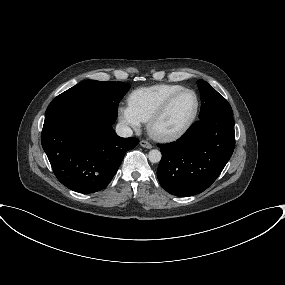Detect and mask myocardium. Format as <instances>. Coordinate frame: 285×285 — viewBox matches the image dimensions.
Segmentation results:
<instances>
[{
    "instance_id": "f54148a6",
    "label": "myocardium",
    "mask_w": 285,
    "mask_h": 285,
    "mask_svg": "<svg viewBox=\"0 0 285 285\" xmlns=\"http://www.w3.org/2000/svg\"><path fill=\"white\" fill-rule=\"evenodd\" d=\"M183 93H191L195 97V108L192 115L187 120V122L178 129L171 131L160 130L158 128V123L167 113L173 102ZM199 108H200V100L198 94L192 89L183 88L172 94L170 97H168L163 102V104L152 114V116L147 121V130L153 138L160 141H170L177 139L182 135H184L192 127V125L197 119Z\"/></svg>"
}]
</instances>
